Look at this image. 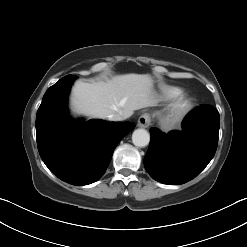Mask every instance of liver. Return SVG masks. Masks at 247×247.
I'll return each mask as SVG.
<instances>
[{"mask_svg":"<svg viewBox=\"0 0 247 247\" xmlns=\"http://www.w3.org/2000/svg\"><path fill=\"white\" fill-rule=\"evenodd\" d=\"M153 80L148 74H124L104 82L78 81L72 89L74 112L93 118H106L113 113H132L154 106Z\"/></svg>","mask_w":247,"mask_h":247,"instance_id":"obj_1","label":"liver"}]
</instances>
